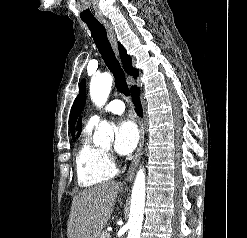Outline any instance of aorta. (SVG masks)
I'll return each instance as SVG.
<instances>
[{"instance_id": "762f6f07", "label": "aorta", "mask_w": 247, "mask_h": 238, "mask_svg": "<svg viewBox=\"0 0 247 238\" xmlns=\"http://www.w3.org/2000/svg\"><path fill=\"white\" fill-rule=\"evenodd\" d=\"M112 82V76L108 73L94 76L91 79L90 96L96 106L102 107L106 103ZM113 139L114 132L112 127L107 121H101L93 136L94 143L110 144ZM145 189V173L144 169L140 168L132 188L127 238H140L145 209Z\"/></svg>"}]
</instances>
